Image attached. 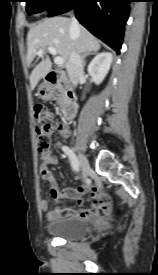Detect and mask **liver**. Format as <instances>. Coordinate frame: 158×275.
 Instances as JSON below:
<instances>
[{
    "label": "liver",
    "instance_id": "liver-1",
    "mask_svg": "<svg viewBox=\"0 0 158 275\" xmlns=\"http://www.w3.org/2000/svg\"><path fill=\"white\" fill-rule=\"evenodd\" d=\"M53 46L64 59L67 67L72 51L79 53L96 52L100 43L87 29L79 25L71 27V20L66 17L47 18L30 28L27 35V63L30 65L38 51L43 50L42 61L36 65L30 75V85L34 89L41 78L45 77L52 68V63L46 55L47 47Z\"/></svg>",
    "mask_w": 158,
    "mask_h": 275
}]
</instances>
